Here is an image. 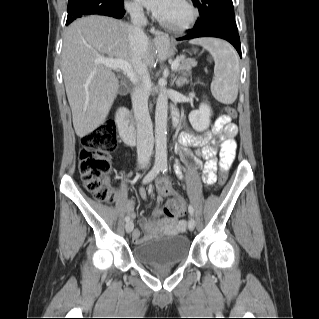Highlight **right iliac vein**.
Wrapping results in <instances>:
<instances>
[{"label": "right iliac vein", "instance_id": "63e3f726", "mask_svg": "<svg viewBox=\"0 0 319 319\" xmlns=\"http://www.w3.org/2000/svg\"><path fill=\"white\" fill-rule=\"evenodd\" d=\"M134 228V224L132 221H128L125 225V230L127 233H130Z\"/></svg>", "mask_w": 319, "mask_h": 319}]
</instances>
